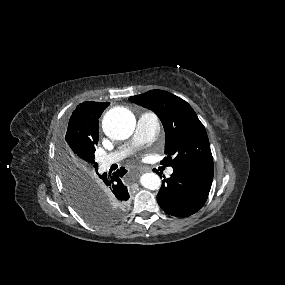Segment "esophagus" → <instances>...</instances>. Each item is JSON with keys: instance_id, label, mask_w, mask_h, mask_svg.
<instances>
[{"instance_id": "1", "label": "esophagus", "mask_w": 285, "mask_h": 285, "mask_svg": "<svg viewBox=\"0 0 285 285\" xmlns=\"http://www.w3.org/2000/svg\"><path fill=\"white\" fill-rule=\"evenodd\" d=\"M151 169L149 167L143 166L141 167V172H150Z\"/></svg>"}]
</instances>
